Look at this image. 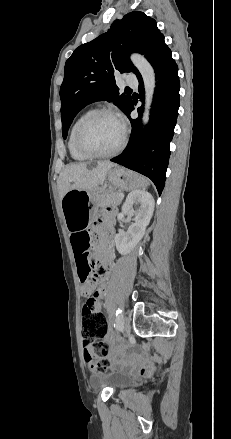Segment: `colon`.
Instances as JSON below:
<instances>
[{
	"instance_id": "obj_1",
	"label": "colon",
	"mask_w": 231,
	"mask_h": 439,
	"mask_svg": "<svg viewBox=\"0 0 231 439\" xmlns=\"http://www.w3.org/2000/svg\"><path fill=\"white\" fill-rule=\"evenodd\" d=\"M77 229V228H75ZM79 277L84 283L85 290L90 293L96 282V276L91 272V265L82 267ZM82 342L85 347L92 346V353L85 354L88 368L95 373H103L110 367L107 345L101 339L107 333L106 318L101 312L91 310L87 305L82 309Z\"/></svg>"
}]
</instances>
